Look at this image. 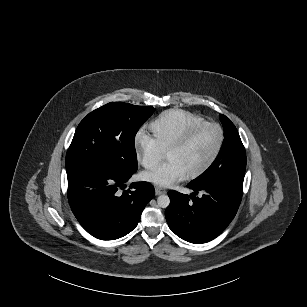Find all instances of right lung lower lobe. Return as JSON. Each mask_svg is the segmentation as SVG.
I'll return each instance as SVG.
<instances>
[{
    "label": "right lung lower lobe",
    "instance_id": "right-lung-lower-lobe-1",
    "mask_svg": "<svg viewBox=\"0 0 307 307\" xmlns=\"http://www.w3.org/2000/svg\"><path fill=\"white\" fill-rule=\"evenodd\" d=\"M132 174L106 166H80L67 172L70 207L88 233L113 240L136 227L155 191L150 183L136 182L133 190L119 196L118 188L124 187Z\"/></svg>",
    "mask_w": 307,
    "mask_h": 307
}]
</instances>
